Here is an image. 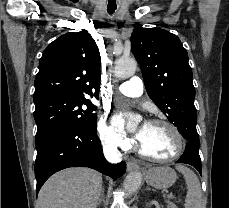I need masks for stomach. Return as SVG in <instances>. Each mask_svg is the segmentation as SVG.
<instances>
[{
  "label": "stomach",
  "instance_id": "0dacf381",
  "mask_svg": "<svg viewBox=\"0 0 229 208\" xmlns=\"http://www.w3.org/2000/svg\"><path fill=\"white\" fill-rule=\"evenodd\" d=\"M143 180L148 186L156 188V190H166L176 182V172L169 166H160V168H148L143 170Z\"/></svg>",
  "mask_w": 229,
  "mask_h": 208
}]
</instances>
